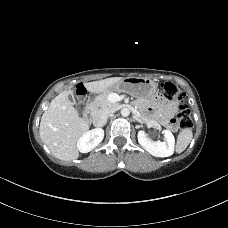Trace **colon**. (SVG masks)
<instances>
[{
    "label": "colon",
    "mask_w": 228,
    "mask_h": 228,
    "mask_svg": "<svg viewBox=\"0 0 228 228\" xmlns=\"http://www.w3.org/2000/svg\"><path fill=\"white\" fill-rule=\"evenodd\" d=\"M160 88L162 96L165 99L179 103L178 116L177 118L169 121V128L172 130L190 129L192 127V119L190 115V109L186 100V94L172 82H163ZM76 93L79 99H82L86 94L84 86L79 85L76 89Z\"/></svg>",
    "instance_id": "colon-1"
}]
</instances>
